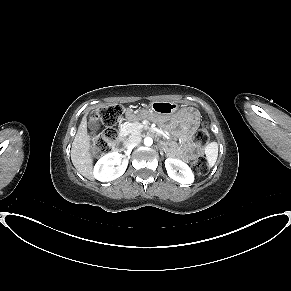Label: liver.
<instances>
[{
    "label": "liver",
    "mask_w": 291,
    "mask_h": 291,
    "mask_svg": "<svg viewBox=\"0 0 291 291\" xmlns=\"http://www.w3.org/2000/svg\"><path fill=\"white\" fill-rule=\"evenodd\" d=\"M89 151L90 136L87 133L86 117H83L72 143L71 160L81 175L93 180V160Z\"/></svg>",
    "instance_id": "obj_1"
}]
</instances>
